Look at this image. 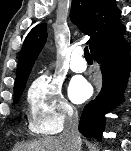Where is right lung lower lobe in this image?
<instances>
[{"instance_id": "obj_1", "label": "right lung lower lobe", "mask_w": 131, "mask_h": 151, "mask_svg": "<svg viewBox=\"0 0 131 151\" xmlns=\"http://www.w3.org/2000/svg\"><path fill=\"white\" fill-rule=\"evenodd\" d=\"M95 48L91 54L100 64L103 76L98 96L89 102L82 112L79 131L87 138L101 140L105 126V114L122 99L131 70L130 44L124 39V32Z\"/></svg>"}]
</instances>
